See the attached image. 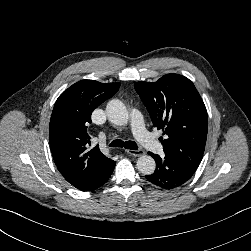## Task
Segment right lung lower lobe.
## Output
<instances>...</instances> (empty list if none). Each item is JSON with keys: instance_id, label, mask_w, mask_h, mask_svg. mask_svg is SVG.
Returning a JSON list of instances; mask_svg holds the SVG:
<instances>
[{"instance_id": "right-lung-lower-lobe-1", "label": "right lung lower lobe", "mask_w": 251, "mask_h": 251, "mask_svg": "<svg viewBox=\"0 0 251 251\" xmlns=\"http://www.w3.org/2000/svg\"><path fill=\"white\" fill-rule=\"evenodd\" d=\"M115 161L110 160L107 164L96 170L86 180L76 186L81 191H93L102 186L111 176L115 167Z\"/></svg>"}]
</instances>
